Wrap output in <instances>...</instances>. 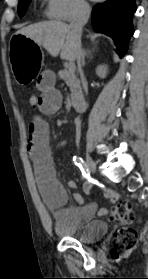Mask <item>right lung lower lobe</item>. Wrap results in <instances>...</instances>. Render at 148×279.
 <instances>
[{
	"mask_svg": "<svg viewBox=\"0 0 148 279\" xmlns=\"http://www.w3.org/2000/svg\"><path fill=\"white\" fill-rule=\"evenodd\" d=\"M136 9L135 0H107L93 8L94 30L114 39L120 57L127 52L128 41L134 33L132 16Z\"/></svg>",
	"mask_w": 148,
	"mask_h": 279,
	"instance_id": "right-lung-lower-lobe-1",
	"label": "right lung lower lobe"
}]
</instances>
